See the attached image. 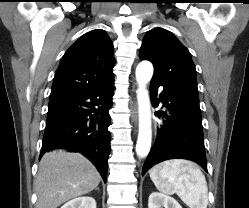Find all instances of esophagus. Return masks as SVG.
<instances>
[{"label": "esophagus", "instance_id": "esophagus-1", "mask_svg": "<svg viewBox=\"0 0 249 208\" xmlns=\"http://www.w3.org/2000/svg\"><path fill=\"white\" fill-rule=\"evenodd\" d=\"M135 88H136V83H133V90H135ZM133 113H134V116L137 115L136 105H134V107H133Z\"/></svg>", "mask_w": 249, "mask_h": 208}]
</instances>
